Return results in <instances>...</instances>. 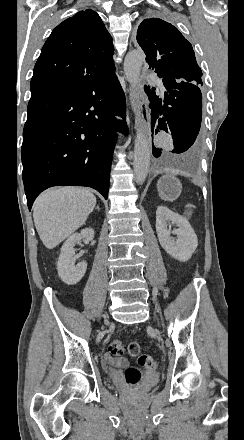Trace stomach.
<instances>
[{"instance_id":"1","label":"stomach","mask_w":244,"mask_h":440,"mask_svg":"<svg viewBox=\"0 0 244 440\" xmlns=\"http://www.w3.org/2000/svg\"><path fill=\"white\" fill-rule=\"evenodd\" d=\"M157 190L161 200L174 202L182 192V184L178 178H175L174 174H165L158 180Z\"/></svg>"}]
</instances>
